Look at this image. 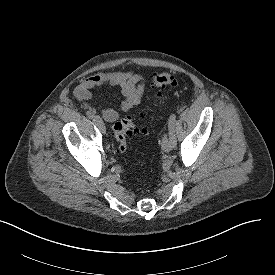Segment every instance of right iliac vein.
<instances>
[{
	"mask_svg": "<svg viewBox=\"0 0 275 275\" xmlns=\"http://www.w3.org/2000/svg\"><path fill=\"white\" fill-rule=\"evenodd\" d=\"M97 126H98L100 132L103 133V134H105V132H106V127H105V125H104V123H103L102 120H101L100 122L97 123Z\"/></svg>",
	"mask_w": 275,
	"mask_h": 275,
	"instance_id": "obj_1",
	"label": "right iliac vein"
}]
</instances>
